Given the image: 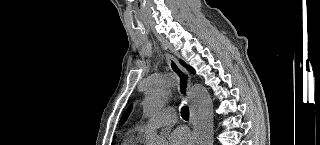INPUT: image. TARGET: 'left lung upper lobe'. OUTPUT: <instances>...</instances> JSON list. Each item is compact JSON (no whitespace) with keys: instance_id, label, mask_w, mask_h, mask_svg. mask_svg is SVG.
<instances>
[{"instance_id":"5c2ea615","label":"left lung upper lobe","mask_w":320,"mask_h":145,"mask_svg":"<svg viewBox=\"0 0 320 145\" xmlns=\"http://www.w3.org/2000/svg\"><path fill=\"white\" fill-rule=\"evenodd\" d=\"M180 63L183 65V66H186V64L180 60ZM187 69L191 72V73H195L194 69L190 66H186ZM132 107L130 106L126 111L125 113L123 114L122 118H121V121H120V125H122L125 120L127 119L128 115L130 114V111H131Z\"/></svg>"}]
</instances>
